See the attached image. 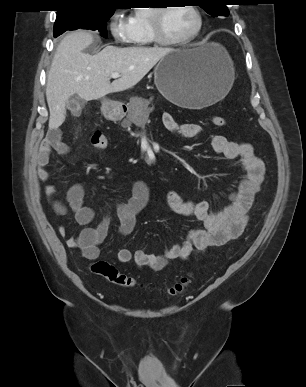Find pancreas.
I'll return each instance as SVG.
<instances>
[{"label":"pancreas","instance_id":"pancreas-1","mask_svg":"<svg viewBox=\"0 0 306 387\" xmlns=\"http://www.w3.org/2000/svg\"><path fill=\"white\" fill-rule=\"evenodd\" d=\"M150 102L151 100L143 98H132L131 105H138V108L130 113L128 119L123 121V125L129 126L131 123H135L136 125L144 127L149 114L148 105L150 104Z\"/></svg>","mask_w":306,"mask_h":387}]
</instances>
